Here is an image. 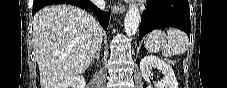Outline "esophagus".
Listing matches in <instances>:
<instances>
[{"mask_svg": "<svg viewBox=\"0 0 227 88\" xmlns=\"http://www.w3.org/2000/svg\"><path fill=\"white\" fill-rule=\"evenodd\" d=\"M111 10L113 13H118V12L123 13L125 11V7L124 5H121V4H114L112 5Z\"/></svg>", "mask_w": 227, "mask_h": 88, "instance_id": "34e87169", "label": "esophagus"}]
</instances>
